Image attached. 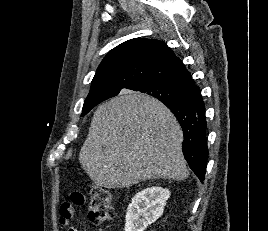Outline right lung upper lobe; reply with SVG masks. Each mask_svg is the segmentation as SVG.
<instances>
[{
  "mask_svg": "<svg viewBox=\"0 0 268 231\" xmlns=\"http://www.w3.org/2000/svg\"><path fill=\"white\" fill-rule=\"evenodd\" d=\"M147 80L167 83L192 94L198 89L184 64L167 45L159 40L136 38L121 43L105 56L85 103H101L116 96L104 95L106 90L131 89Z\"/></svg>",
  "mask_w": 268,
  "mask_h": 231,
  "instance_id": "cb5924a9",
  "label": "right lung upper lobe"
}]
</instances>
